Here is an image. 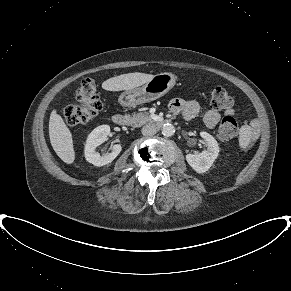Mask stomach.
Instances as JSON below:
<instances>
[{
  "label": "stomach",
  "mask_w": 291,
  "mask_h": 291,
  "mask_svg": "<svg viewBox=\"0 0 291 291\" xmlns=\"http://www.w3.org/2000/svg\"><path fill=\"white\" fill-rule=\"evenodd\" d=\"M177 77L169 72L155 75L143 86L126 90L119 96V103L124 107L150 102L164 96L176 83Z\"/></svg>",
  "instance_id": "obj_1"
}]
</instances>
